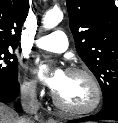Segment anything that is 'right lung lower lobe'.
<instances>
[{
	"label": "right lung lower lobe",
	"instance_id": "obj_1",
	"mask_svg": "<svg viewBox=\"0 0 118 123\" xmlns=\"http://www.w3.org/2000/svg\"><path fill=\"white\" fill-rule=\"evenodd\" d=\"M19 83H0V102L10 103L19 95Z\"/></svg>",
	"mask_w": 118,
	"mask_h": 123
}]
</instances>
